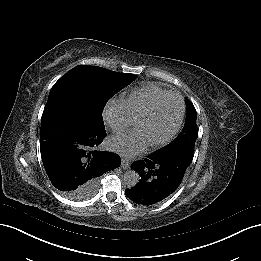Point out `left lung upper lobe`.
I'll return each instance as SVG.
<instances>
[{
    "label": "left lung upper lobe",
    "instance_id": "5c2ea615",
    "mask_svg": "<svg viewBox=\"0 0 261 261\" xmlns=\"http://www.w3.org/2000/svg\"><path fill=\"white\" fill-rule=\"evenodd\" d=\"M187 116L182 133L171 144L161 149L165 152L183 151L193 156L195 141L198 136L196 110L189 99H186Z\"/></svg>",
    "mask_w": 261,
    "mask_h": 261
}]
</instances>
